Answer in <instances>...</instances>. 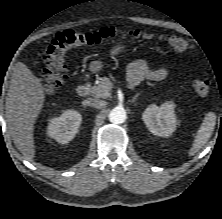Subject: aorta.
<instances>
[{
    "label": "aorta",
    "instance_id": "aorta-1",
    "mask_svg": "<svg viewBox=\"0 0 222 219\" xmlns=\"http://www.w3.org/2000/svg\"><path fill=\"white\" fill-rule=\"evenodd\" d=\"M109 120L113 124H122L126 120V111L123 107H115L109 113Z\"/></svg>",
    "mask_w": 222,
    "mask_h": 219
}]
</instances>
